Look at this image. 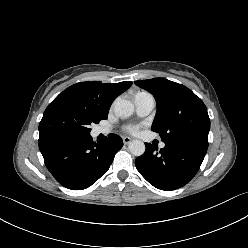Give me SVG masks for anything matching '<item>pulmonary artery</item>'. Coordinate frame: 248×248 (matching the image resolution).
Wrapping results in <instances>:
<instances>
[{
	"instance_id": "e3ab8cb5",
	"label": "pulmonary artery",
	"mask_w": 248,
	"mask_h": 248,
	"mask_svg": "<svg viewBox=\"0 0 248 248\" xmlns=\"http://www.w3.org/2000/svg\"><path fill=\"white\" fill-rule=\"evenodd\" d=\"M134 104L136 107V112L140 116L148 115L155 106V99L154 97L147 92H138L134 96ZM99 133H107V129L100 128L98 129ZM165 146L164 143L160 144V148H163Z\"/></svg>"
}]
</instances>
